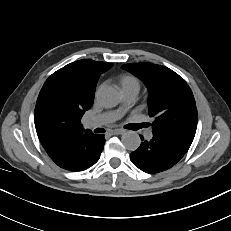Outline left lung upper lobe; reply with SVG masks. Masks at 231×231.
I'll return each instance as SVG.
<instances>
[{
	"instance_id": "left-lung-upper-lobe-1",
	"label": "left lung upper lobe",
	"mask_w": 231,
	"mask_h": 231,
	"mask_svg": "<svg viewBox=\"0 0 231 231\" xmlns=\"http://www.w3.org/2000/svg\"><path fill=\"white\" fill-rule=\"evenodd\" d=\"M149 89V115L154 118L152 132L191 145L197 128V108L185 80L171 69L152 63L122 66Z\"/></svg>"
}]
</instances>
